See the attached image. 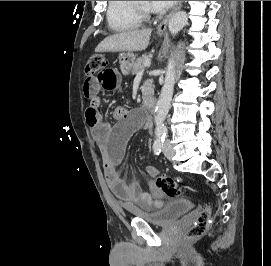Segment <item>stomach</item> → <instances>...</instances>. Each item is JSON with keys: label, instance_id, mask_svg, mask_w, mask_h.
I'll return each instance as SVG.
<instances>
[{"label": "stomach", "instance_id": "obj_1", "mask_svg": "<svg viewBox=\"0 0 271 266\" xmlns=\"http://www.w3.org/2000/svg\"><path fill=\"white\" fill-rule=\"evenodd\" d=\"M122 74L127 75L135 63L136 56L131 52H122L118 56Z\"/></svg>", "mask_w": 271, "mask_h": 266}]
</instances>
